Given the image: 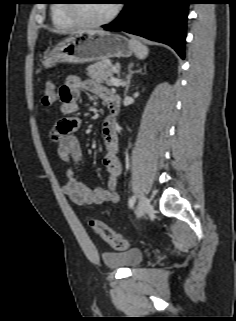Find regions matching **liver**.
Masks as SVG:
<instances>
[{"label": "liver", "mask_w": 236, "mask_h": 321, "mask_svg": "<svg viewBox=\"0 0 236 321\" xmlns=\"http://www.w3.org/2000/svg\"><path fill=\"white\" fill-rule=\"evenodd\" d=\"M77 32H88V33H104L103 30H79V31H72L71 33H77Z\"/></svg>", "instance_id": "6515ba94"}]
</instances>
